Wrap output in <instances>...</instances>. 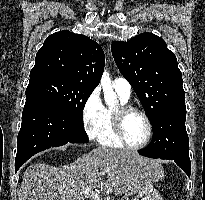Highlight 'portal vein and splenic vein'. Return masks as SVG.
I'll use <instances>...</instances> for the list:
<instances>
[{"mask_svg":"<svg viewBox=\"0 0 205 200\" xmlns=\"http://www.w3.org/2000/svg\"><path fill=\"white\" fill-rule=\"evenodd\" d=\"M107 172L108 170H104L100 174H104ZM80 194L84 195L85 197H91L93 200H102V198H100V196L94 191H92L90 188H83Z\"/></svg>","mask_w":205,"mask_h":200,"instance_id":"obj_1","label":"portal vein and splenic vein"}]
</instances>
